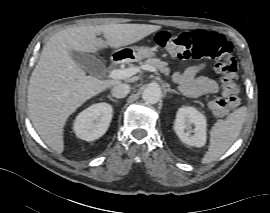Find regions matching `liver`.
<instances>
[{
    "label": "liver",
    "instance_id": "obj_1",
    "mask_svg": "<svg viewBox=\"0 0 270 213\" xmlns=\"http://www.w3.org/2000/svg\"><path fill=\"white\" fill-rule=\"evenodd\" d=\"M160 29L149 24L81 26L61 30L49 39L30 77L27 101L33 126L51 149L59 154L64 151L63 131L71 114L90 98L121 83L86 75L72 59L71 51L116 49ZM100 34L106 42L97 39Z\"/></svg>",
    "mask_w": 270,
    "mask_h": 213
}]
</instances>
